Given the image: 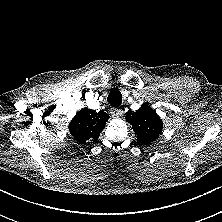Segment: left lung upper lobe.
<instances>
[{
    "mask_svg": "<svg viewBox=\"0 0 222 222\" xmlns=\"http://www.w3.org/2000/svg\"><path fill=\"white\" fill-rule=\"evenodd\" d=\"M125 118L132 126L137 140L144 145L158 139L162 132V120L147 104H143L136 112H127Z\"/></svg>",
    "mask_w": 222,
    "mask_h": 222,
    "instance_id": "5c2ea615",
    "label": "left lung upper lobe"
}]
</instances>
